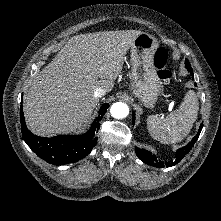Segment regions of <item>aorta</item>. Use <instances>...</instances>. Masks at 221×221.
I'll list each match as a JSON object with an SVG mask.
<instances>
[{
  "label": "aorta",
  "instance_id": "1",
  "mask_svg": "<svg viewBox=\"0 0 221 221\" xmlns=\"http://www.w3.org/2000/svg\"><path fill=\"white\" fill-rule=\"evenodd\" d=\"M111 115L117 119H123L129 114V108L125 103L116 102L111 106Z\"/></svg>",
  "mask_w": 221,
  "mask_h": 221
}]
</instances>
